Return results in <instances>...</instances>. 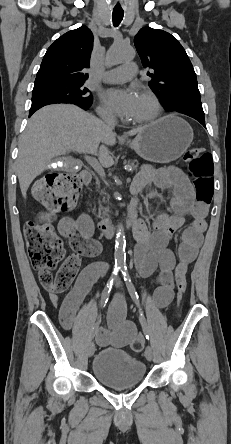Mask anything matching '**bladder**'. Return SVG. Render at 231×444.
<instances>
[{
  "instance_id": "31cf9c89",
  "label": "bladder",
  "mask_w": 231,
  "mask_h": 444,
  "mask_svg": "<svg viewBox=\"0 0 231 444\" xmlns=\"http://www.w3.org/2000/svg\"><path fill=\"white\" fill-rule=\"evenodd\" d=\"M146 372L145 364L114 349L99 350L92 362V375L101 384L122 389L139 385Z\"/></svg>"
}]
</instances>
